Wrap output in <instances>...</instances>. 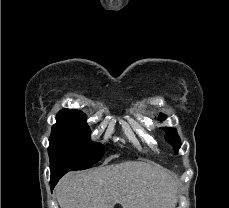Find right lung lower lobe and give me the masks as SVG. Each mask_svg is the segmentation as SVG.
Segmentation results:
<instances>
[{
    "label": "right lung lower lobe",
    "mask_w": 229,
    "mask_h": 208,
    "mask_svg": "<svg viewBox=\"0 0 229 208\" xmlns=\"http://www.w3.org/2000/svg\"><path fill=\"white\" fill-rule=\"evenodd\" d=\"M67 172H62V173H59L57 175H51V180H50V183H51V190H53V188L55 187V185L58 183L59 179L65 175Z\"/></svg>",
    "instance_id": "98d812e1"
}]
</instances>
